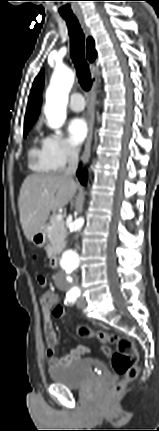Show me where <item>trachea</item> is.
<instances>
[{
  "label": "trachea",
  "instance_id": "3493384b",
  "mask_svg": "<svg viewBox=\"0 0 159 431\" xmlns=\"http://www.w3.org/2000/svg\"><path fill=\"white\" fill-rule=\"evenodd\" d=\"M70 36L71 58L76 68L78 81L85 91L92 86L89 65L85 59V37L76 17H64Z\"/></svg>",
  "mask_w": 159,
  "mask_h": 431
}]
</instances>
